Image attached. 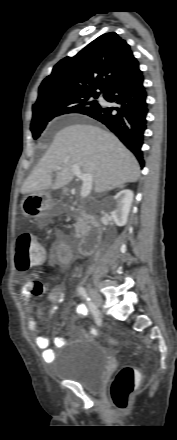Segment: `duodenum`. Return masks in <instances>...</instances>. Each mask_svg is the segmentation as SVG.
Returning a JSON list of instances; mask_svg holds the SVG:
<instances>
[{
  "label": "duodenum",
  "mask_w": 177,
  "mask_h": 440,
  "mask_svg": "<svg viewBox=\"0 0 177 440\" xmlns=\"http://www.w3.org/2000/svg\"><path fill=\"white\" fill-rule=\"evenodd\" d=\"M86 222V233L78 244V250L82 255H90L98 246L102 238V227L98 220L86 211L80 210Z\"/></svg>",
  "instance_id": "410a0bca"
}]
</instances>
